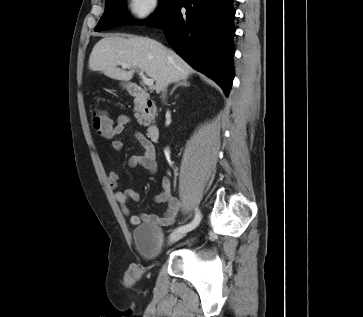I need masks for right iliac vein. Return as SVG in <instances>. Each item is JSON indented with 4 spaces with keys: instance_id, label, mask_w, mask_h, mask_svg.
<instances>
[{
    "instance_id": "63e3f726",
    "label": "right iliac vein",
    "mask_w": 363,
    "mask_h": 317,
    "mask_svg": "<svg viewBox=\"0 0 363 317\" xmlns=\"http://www.w3.org/2000/svg\"><path fill=\"white\" fill-rule=\"evenodd\" d=\"M187 233V231H175L173 232L170 236H169V244H173L177 241H179L180 239H182L185 234Z\"/></svg>"
}]
</instances>
